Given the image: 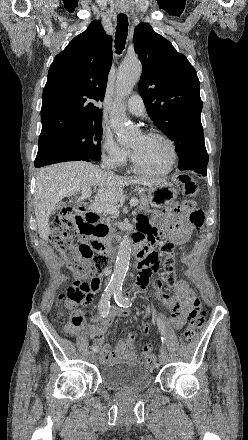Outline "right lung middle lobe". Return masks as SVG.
<instances>
[{
  "mask_svg": "<svg viewBox=\"0 0 248 440\" xmlns=\"http://www.w3.org/2000/svg\"><path fill=\"white\" fill-rule=\"evenodd\" d=\"M102 133L101 122H96L40 135L35 166L73 160L99 161Z\"/></svg>",
  "mask_w": 248,
  "mask_h": 440,
  "instance_id": "dd1d6c3e",
  "label": "right lung middle lobe"
}]
</instances>
